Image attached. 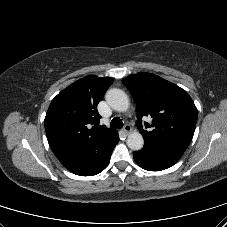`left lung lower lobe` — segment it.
Here are the masks:
<instances>
[{
    "mask_svg": "<svg viewBox=\"0 0 227 227\" xmlns=\"http://www.w3.org/2000/svg\"><path fill=\"white\" fill-rule=\"evenodd\" d=\"M183 153L166 144L144 142V147L134 152V159L145 170L161 171L174 165Z\"/></svg>",
    "mask_w": 227,
    "mask_h": 227,
    "instance_id": "obj_1",
    "label": "left lung lower lobe"
}]
</instances>
